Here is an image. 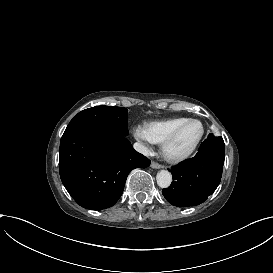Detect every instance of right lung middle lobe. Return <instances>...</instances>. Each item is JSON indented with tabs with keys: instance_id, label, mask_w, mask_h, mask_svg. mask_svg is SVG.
Listing matches in <instances>:
<instances>
[{
	"instance_id": "1",
	"label": "right lung middle lobe",
	"mask_w": 273,
	"mask_h": 273,
	"mask_svg": "<svg viewBox=\"0 0 273 273\" xmlns=\"http://www.w3.org/2000/svg\"><path fill=\"white\" fill-rule=\"evenodd\" d=\"M127 109L114 106H96L79 112L65 131L77 128H93L119 136H127Z\"/></svg>"
}]
</instances>
